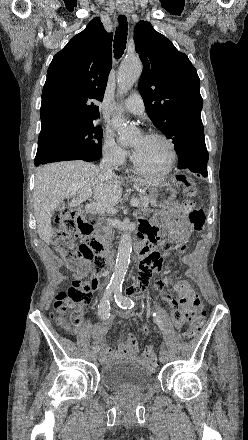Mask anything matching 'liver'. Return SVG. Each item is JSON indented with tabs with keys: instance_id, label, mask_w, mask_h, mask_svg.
Here are the masks:
<instances>
[{
	"instance_id": "liver-1",
	"label": "liver",
	"mask_w": 248,
	"mask_h": 440,
	"mask_svg": "<svg viewBox=\"0 0 248 440\" xmlns=\"http://www.w3.org/2000/svg\"><path fill=\"white\" fill-rule=\"evenodd\" d=\"M122 178L106 175L101 169L84 161H63L40 167L35 175L34 213L39 237L49 243L52 236L51 218L65 198H75L90 189L96 203L114 206L122 196ZM131 182L151 184L162 180L133 178Z\"/></svg>"
}]
</instances>
